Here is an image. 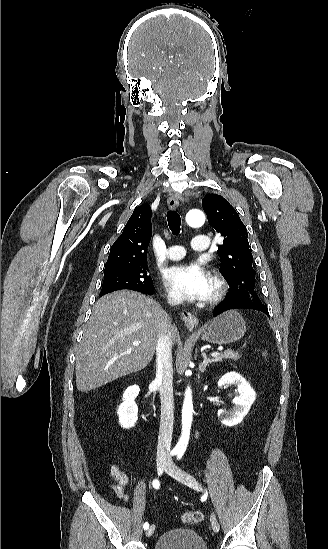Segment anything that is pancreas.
Segmentation results:
<instances>
[{
    "instance_id": "pancreas-1",
    "label": "pancreas",
    "mask_w": 328,
    "mask_h": 549,
    "mask_svg": "<svg viewBox=\"0 0 328 549\" xmlns=\"http://www.w3.org/2000/svg\"><path fill=\"white\" fill-rule=\"evenodd\" d=\"M240 357L241 355H239V353H234V351H231V349H228V351H224L222 355H218V357H214L213 361L214 363H218V361H222V359H234V361H238Z\"/></svg>"
}]
</instances>
